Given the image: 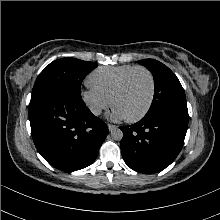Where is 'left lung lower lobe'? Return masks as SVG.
<instances>
[{
  "label": "left lung lower lobe",
  "mask_w": 220,
  "mask_h": 220,
  "mask_svg": "<svg viewBox=\"0 0 220 220\" xmlns=\"http://www.w3.org/2000/svg\"><path fill=\"white\" fill-rule=\"evenodd\" d=\"M188 121L171 114H157L121 126V152L125 163L141 173H157L168 167L184 144Z\"/></svg>",
  "instance_id": "obj_1"
}]
</instances>
